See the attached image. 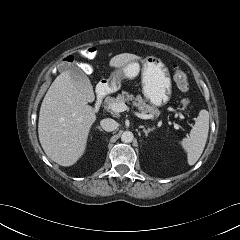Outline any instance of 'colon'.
I'll return each instance as SVG.
<instances>
[{
    "mask_svg": "<svg viewBox=\"0 0 240 240\" xmlns=\"http://www.w3.org/2000/svg\"><path fill=\"white\" fill-rule=\"evenodd\" d=\"M80 54L86 58H93L96 54V49L93 47H87L85 49H82L80 51ZM64 61L67 63H71V62H73V57L68 56L64 59ZM173 78H174V81H175L177 87L181 91H183V92L188 91L189 80H188L187 74L181 68H179V67L174 68Z\"/></svg>",
    "mask_w": 240,
    "mask_h": 240,
    "instance_id": "colon-1",
    "label": "colon"
}]
</instances>
